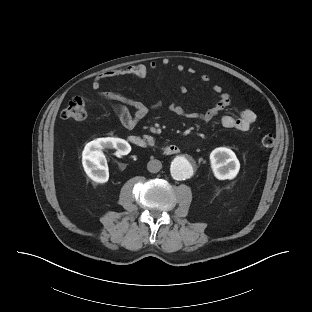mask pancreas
<instances>
[{"label": "pancreas", "mask_w": 312, "mask_h": 312, "mask_svg": "<svg viewBox=\"0 0 312 312\" xmlns=\"http://www.w3.org/2000/svg\"><path fill=\"white\" fill-rule=\"evenodd\" d=\"M149 144H150V145H154V139L151 138V137H149Z\"/></svg>", "instance_id": "pancreas-1"}]
</instances>
